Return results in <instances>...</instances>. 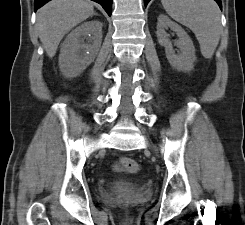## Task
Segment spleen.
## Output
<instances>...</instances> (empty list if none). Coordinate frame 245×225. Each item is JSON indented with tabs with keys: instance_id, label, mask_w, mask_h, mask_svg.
Listing matches in <instances>:
<instances>
[{
	"instance_id": "1",
	"label": "spleen",
	"mask_w": 245,
	"mask_h": 225,
	"mask_svg": "<svg viewBox=\"0 0 245 225\" xmlns=\"http://www.w3.org/2000/svg\"><path fill=\"white\" fill-rule=\"evenodd\" d=\"M167 14L195 34L203 57L212 58L220 40V10L214 0H161Z\"/></svg>"
}]
</instances>
